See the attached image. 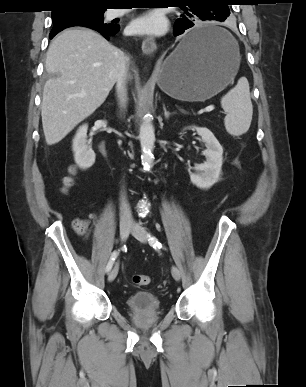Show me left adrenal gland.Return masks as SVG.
I'll return each instance as SVG.
<instances>
[{
  "instance_id": "1",
  "label": "left adrenal gland",
  "mask_w": 306,
  "mask_h": 387,
  "mask_svg": "<svg viewBox=\"0 0 306 387\" xmlns=\"http://www.w3.org/2000/svg\"><path fill=\"white\" fill-rule=\"evenodd\" d=\"M163 111H164V117H165V119H169V117H170L171 115L176 114V112H169V111H167V109H166V107H165V104H163Z\"/></svg>"
}]
</instances>
